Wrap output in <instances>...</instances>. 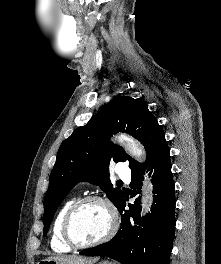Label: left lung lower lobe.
Here are the masks:
<instances>
[{
    "label": "left lung lower lobe",
    "mask_w": 221,
    "mask_h": 264,
    "mask_svg": "<svg viewBox=\"0 0 221 264\" xmlns=\"http://www.w3.org/2000/svg\"><path fill=\"white\" fill-rule=\"evenodd\" d=\"M149 175H152L153 204L151 213L141 218L140 199L129 204L127 197L117 207L121 214V227L109 242L80 252L83 255L106 256L122 264H169L175 229V185L171 172L170 150L166 140L159 146L150 161ZM147 165V166H148ZM132 174L130 194L141 191L143 174Z\"/></svg>",
    "instance_id": "obj_1"
}]
</instances>
